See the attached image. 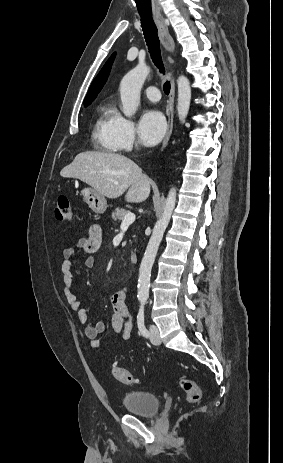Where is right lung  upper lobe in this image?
Returning a JSON list of instances; mask_svg holds the SVG:
<instances>
[{
	"label": "right lung upper lobe",
	"instance_id": "obj_1",
	"mask_svg": "<svg viewBox=\"0 0 283 463\" xmlns=\"http://www.w3.org/2000/svg\"><path fill=\"white\" fill-rule=\"evenodd\" d=\"M115 58V53L112 54V56L108 59V61L105 63L97 77L94 79V81L91 84V87L88 91V94L84 100V105L88 104L90 105L92 101L97 97L98 93L102 89L103 85L107 81L113 60Z\"/></svg>",
	"mask_w": 283,
	"mask_h": 463
}]
</instances>
